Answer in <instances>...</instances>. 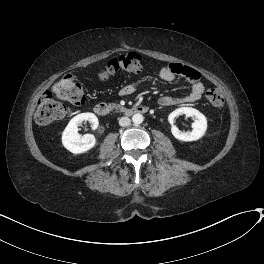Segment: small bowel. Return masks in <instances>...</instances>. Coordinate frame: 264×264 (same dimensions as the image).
Masks as SVG:
<instances>
[{
    "label": "small bowel",
    "instance_id": "c3829d8e",
    "mask_svg": "<svg viewBox=\"0 0 264 264\" xmlns=\"http://www.w3.org/2000/svg\"><path fill=\"white\" fill-rule=\"evenodd\" d=\"M160 77L168 82H174L179 77L186 80L189 86V93L185 96L176 97L171 95H164L159 99V104L163 107L175 106L180 104H187L199 101L204 94V85L197 77V71L183 65L172 64L164 66L160 70ZM147 84L154 85L156 82L151 79H145ZM135 91L134 86L128 85L121 90L122 95H130Z\"/></svg>",
    "mask_w": 264,
    "mask_h": 264
}]
</instances>
